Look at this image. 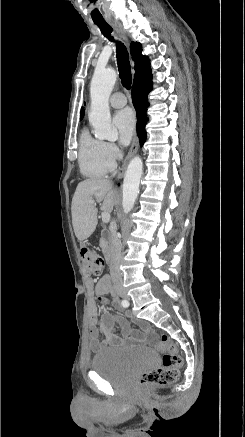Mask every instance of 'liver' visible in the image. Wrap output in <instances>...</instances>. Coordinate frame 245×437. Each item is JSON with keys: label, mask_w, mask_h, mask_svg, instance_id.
<instances>
[{"label": "liver", "mask_w": 245, "mask_h": 437, "mask_svg": "<svg viewBox=\"0 0 245 437\" xmlns=\"http://www.w3.org/2000/svg\"><path fill=\"white\" fill-rule=\"evenodd\" d=\"M92 197H95L97 202H102L103 212H112L116 202L113 183L107 179L90 178L78 184L72 199L71 211L75 236L79 241L89 238L98 223V209L94 202H90Z\"/></svg>", "instance_id": "6515ba94"}]
</instances>
